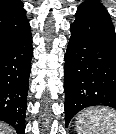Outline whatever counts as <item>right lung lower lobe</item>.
I'll use <instances>...</instances> for the list:
<instances>
[{
  "label": "right lung lower lobe",
  "mask_w": 116,
  "mask_h": 134,
  "mask_svg": "<svg viewBox=\"0 0 116 134\" xmlns=\"http://www.w3.org/2000/svg\"><path fill=\"white\" fill-rule=\"evenodd\" d=\"M32 59L30 29L0 49V120L25 132V112Z\"/></svg>",
  "instance_id": "right-lung-lower-lobe-1"
}]
</instances>
